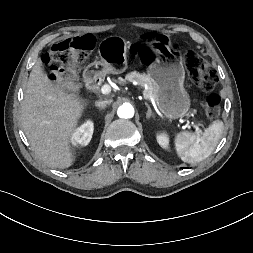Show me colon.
I'll use <instances>...</instances> for the list:
<instances>
[{
  "label": "colon",
  "mask_w": 253,
  "mask_h": 253,
  "mask_svg": "<svg viewBox=\"0 0 253 253\" xmlns=\"http://www.w3.org/2000/svg\"><path fill=\"white\" fill-rule=\"evenodd\" d=\"M93 39L89 36L77 37L54 44L44 57V63L50 67L53 79L60 78L71 86L75 81L71 74L72 67L81 62L93 48ZM135 51V49H134ZM143 63L151 61L152 56L146 50L138 51ZM184 65L190 80L200 89L211 91L216 85V72L208 62L195 51H188L184 56ZM221 112L220 98L211 94L205 101V114L210 120H215Z\"/></svg>",
  "instance_id": "1"
}]
</instances>
